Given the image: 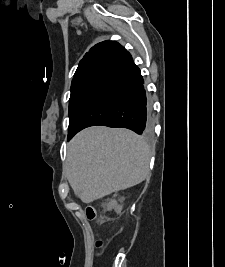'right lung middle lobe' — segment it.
<instances>
[{
  "mask_svg": "<svg viewBox=\"0 0 225 267\" xmlns=\"http://www.w3.org/2000/svg\"><path fill=\"white\" fill-rule=\"evenodd\" d=\"M100 76L88 77L71 85V95L69 100V127L68 136L73 132V125L78 110L90 89L99 80Z\"/></svg>",
  "mask_w": 225,
  "mask_h": 267,
  "instance_id": "right-lung-middle-lobe-1",
  "label": "right lung middle lobe"
}]
</instances>
